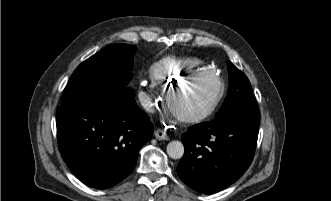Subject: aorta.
<instances>
[{"label":"aorta","instance_id":"aorta-1","mask_svg":"<svg viewBox=\"0 0 331 201\" xmlns=\"http://www.w3.org/2000/svg\"><path fill=\"white\" fill-rule=\"evenodd\" d=\"M167 154L173 159L182 158L184 155V145L180 141H172L167 145Z\"/></svg>","mask_w":331,"mask_h":201}]
</instances>
